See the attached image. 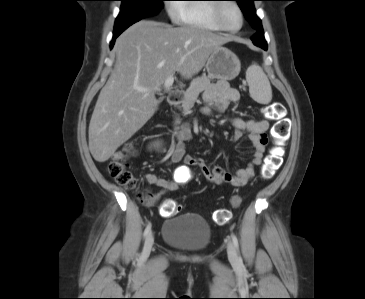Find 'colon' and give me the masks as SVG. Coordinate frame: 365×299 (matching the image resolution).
I'll use <instances>...</instances> for the list:
<instances>
[{
  "label": "colon",
  "instance_id": "colon-1",
  "mask_svg": "<svg viewBox=\"0 0 365 299\" xmlns=\"http://www.w3.org/2000/svg\"><path fill=\"white\" fill-rule=\"evenodd\" d=\"M283 107L279 103L269 105L265 109V114L268 119L275 121L271 136L274 141V147L271 150L270 156L262 167V177L270 179L274 176L282 162V145L288 135V123L282 117ZM136 152L135 144H127L119 151L108 165V172L115 181L126 189L133 190L137 186V180L128 166V159ZM185 179L183 178V181ZM140 202L143 204L151 203V195L149 191H141L138 194ZM234 206L239 205L240 198L236 197L232 200ZM179 205L173 200L167 199L161 206V215L169 217L178 212ZM213 218L216 223L224 224L231 218L230 211L227 209H218L214 212Z\"/></svg>",
  "mask_w": 365,
  "mask_h": 299
}]
</instances>
